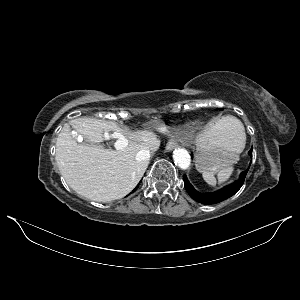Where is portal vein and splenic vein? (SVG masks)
<instances>
[{
	"label": "portal vein and splenic vein",
	"mask_w": 300,
	"mask_h": 300,
	"mask_svg": "<svg viewBox=\"0 0 300 300\" xmlns=\"http://www.w3.org/2000/svg\"><path fill=\"white\" fill-rule=\"evenodd\" d=\"M113 137L117 139L114 145L116 149H123L128 145L127 139L120 133H114Z\"/></svg>",
	"instance_id": "18ae733b"
}]
</instances>
